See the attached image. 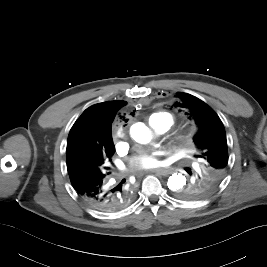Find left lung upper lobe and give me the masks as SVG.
Returning <instances> with one entry per match:
<instances>
[{"label": "left lung upper lobe", "mask_w": 267, "mask_h": 267, "mask_svg": "<svg viewBox=\"0 0 267 267\" xmlns=\"http://www.w3.org/2000/svg\"><path fill=\"white\" fill-rule=\"evenodd\" d=\"M179 111H184L199 128L194 137L196 158L200 160L201 171L192 181L178 191L181 199L193 200L208 196L221 183L228 169L226 133L218 115L206 103L184 92L175 95Z\"/></svg>", "instance_id": "obj_1"}]
</instances>
